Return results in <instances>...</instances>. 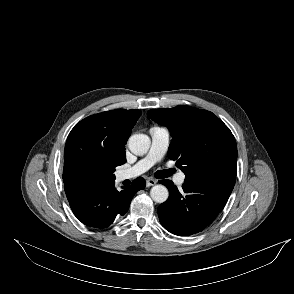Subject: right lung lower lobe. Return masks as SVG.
I'll return each instance as SVG.
<instances>
[{
	"label": "right lung lower lobe",
	"mask_w": 294,
	"mask_h": 294,
	"mask_svg": "<svg viewBox=\"0 0 294 294\" xmlns=\"http://www.w3.org/2000/svg\"><path fill=\"white\" fill-rule=\"evenodd\" d=\"M145 188L142 177L135 179L131 186L117 191L115 182L110 181L96 186L84 184L65 188L70 207L74 215L85 225L106 228L116 216L124 215L135 193Z\"/></svg>",
	"instance_id": "98d812e1"
}]
</instances>
